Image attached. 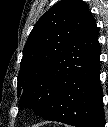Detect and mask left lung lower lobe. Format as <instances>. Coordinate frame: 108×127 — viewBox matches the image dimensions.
Wrapping results in <instances>:
<instances>
[{
	"label": "left lung lower lobe",
	"mask_w": 108,
	"mask_h": 127,
	"mask_svg": "<svg viewBox=\"0 0 108 127\" xmlns=\"http://www.w3.org/2000/svg\"><path fill=\"white\" fill-rule=\"evenodd\" d=\"M99 56L98 28L88 10L64 57L61 83L40 116L76 127L105 126Z\"/></svg>",
	"instance_id": "left-lung-lower-lobe-1"
}]
</instances>
